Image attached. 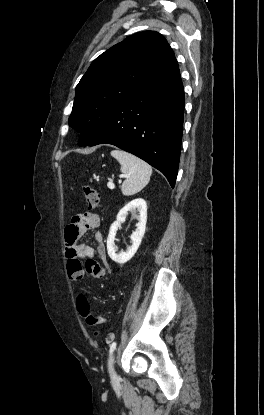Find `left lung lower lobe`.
Instances as JSON below:
<instances>
[{"label":"left lung lower lobe","mask_w":264,"mask_h":415,"mask_svg":"<svg viewBox=\"0 0 264 415\" xmlns=\"http://www.w3.org/2000/svg\"><path fill=\"white\" fill-rule=\"evenodd\" d=\"M184 103L177 67L121 102L81 146L115 145L161 171L174 187Z\"/></svg>","instance_id":"0a47b994"}]
</instances>
